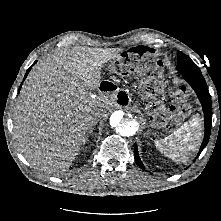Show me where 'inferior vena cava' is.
Masks as SVG:
<instances>
[{"label": "inferior vena cava", "mask_w": 221, "mask_h": 221, "mask_svg": "<svg viewBox=\"0 0 221 221\" xmlns=\"http://www.w3.org/2000/svg\"><path fill=\"white\" fill-rule=\"evenodd\" d=\"M102 116H103V113L99 109L94 110L91 114L92 119L95 121L100 120L102 118Z\"/></svg>", "instance_id": "602c4592"}]
</instances>
